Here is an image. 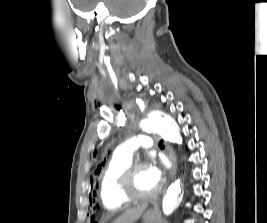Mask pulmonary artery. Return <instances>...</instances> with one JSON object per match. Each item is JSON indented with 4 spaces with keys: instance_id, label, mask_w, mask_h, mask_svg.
Instances as JSON below:
<instances>
[{
    "instance_id": "e3ab8cb5",
    "label": "pulmonary artery",
    "mask_w": 267,
    "mask_h": 223,
    "mask_svg": "<svg viewBox=\"0 0 267 223\" xmlns=\"http://www.w3.org/2000/svg\"><path fill=\"white\" fill-rule=\"evenodd\" d=\"M139 145L151 147L153 145L151 135L145 133L126 140L116 148L114 155L122 159L131 160Z\"/></svg>"
}]
</instances>
